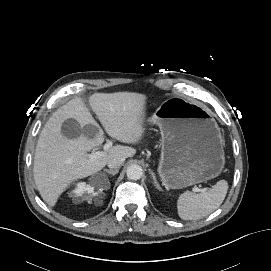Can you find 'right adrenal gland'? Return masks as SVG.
Wrapping results in <instances>:
<instances>
[{"mask_svg":"<svg viewBox=\"0 0 271 271\" xmlns=\"http://www.w3.org/2000/svg\"><path fill=\"white\" fill-rule=\"evenodd\" d=\"M105 172H107L108 174H111V175H115L118 173L119 169H116V170H108V169H104Z\"/></svg>","mask_w":271,"mask_h":271,"instance_id":"2a0ac1e0","label":"right adrenal gland"}]
</instances>
